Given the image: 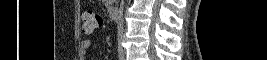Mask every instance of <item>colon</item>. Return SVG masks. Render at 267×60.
<instances>
[{
    "label": "colon",
    "instance_id": "obj_1",
    "mask_svg": "<svg viewBox=\"0 0 267 60\" xmlns=\"http://www.w3.org/2000/svg\"><path fill=\"white\" fill-rule=\"evenodd\" d=\"M82 29L86 33H91L101 25V16L93 11H86L82 15Z\"/></svg>",
    "mask_w": 267,
    "mask_h": 60
}]
</instances>
